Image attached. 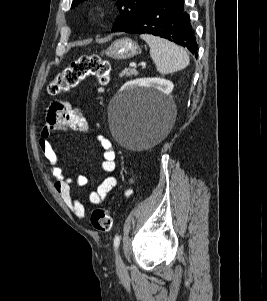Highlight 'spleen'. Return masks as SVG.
Instances as JSON below:
<instances>
[{
    "label": "spleen",
    "instance_id": "3e777b00",
    "mask_svg": "<svg viewBox=\"0 0 267 301\" xmlns=\"http://www.w3.org/2000/svg\"><path fill=\"white\" fill-rule=\"evenodd\" d=\"M141 38L149 45L150 56L159 73H174L188 66V54L176 44L153 35H141Z\"/></svg>",
    "mask_w": 267,
    "mask_h": 301
}]
</instances>
